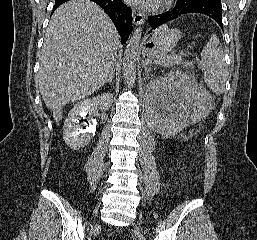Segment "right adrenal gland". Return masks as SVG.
Instances as JSON below:
<instances>
[{"mask_svg": "<svg viewBox=\"0 0 257 240\" xmlns=\"http://www.w3.org/2000/svg\"><path fill=\"white\" fill-rule=\"evenodd\" d=\"M113 77L114 73H112V75L107 79V81L102 86L106 85L107 83L111 85L113 82Z\"/></svg>", "mask_w": 257, "mask_h": 240, "instance_id": "2a0ac1e0", "label": "right adrenal gland"}]
</instances>
